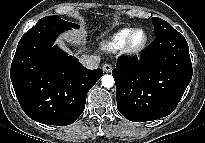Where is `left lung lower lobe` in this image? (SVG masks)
<instances>
[{
	"instance_id": "obj_1",
	"label": "left lung lower lobe",
	"mask_w": 205,
	"mask_h": 143,
	"mask_svg": "<svg viewBox=\"0 0 205 143\" xmlns=\"http://www.w3.org/2000/svg\"><path fill=\"white\" fill-rule=\"evenodd\" d=\"M118 111L145 122L171 114L192 79L186 39L177 30L157 36L142 58L118 59L112 70Z\"/></svg>"
}]
</instances>
